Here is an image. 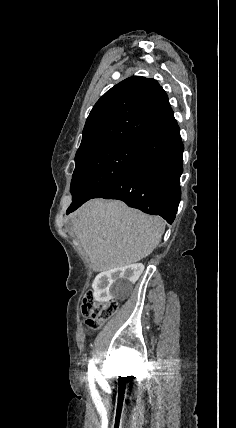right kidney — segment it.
Here are the masks:
<instances>
[{
    "label": "right kidney",
    "mask_w": 236,
    "mask_h": 428,
    "mask_svg": "<svg viewBox=\"0 0 236 428\" xmlns=\"http://www.w3.org/2000/svg\"><path fill=\"white\" fill-rule=\"evenodd\" d=\"M144 268L143 264H129L121 268L102 269L94 278L92 286L95 300L100 306H107L109 301L129 300L132 284L137 282Z\"/></svg>",
    "instance_id": "ca27d5eb"
}]
</instances>
